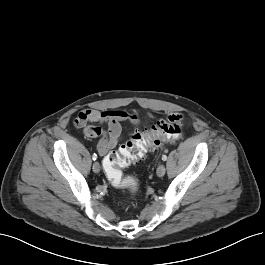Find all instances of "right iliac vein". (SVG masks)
I'll return each instance as SVG.
<instances>
[{
    "label": "right iliac vein",
    "mask_w": 265,
    "mask_h": 265,
    "mask_svg": "<svg viewBox=\"0 0 265 265\" xmlns=\"http://www.w3.org/2000/svg\"><path fill=\"white\" fill-rule=\"evenodd\" d=\"M92 168H93V171H94L95 173H99V171H100V164H99L98 162H94Z\"/></svg>",
    "instance_id": "right-iliac-vein-1"
}]
</instances>
